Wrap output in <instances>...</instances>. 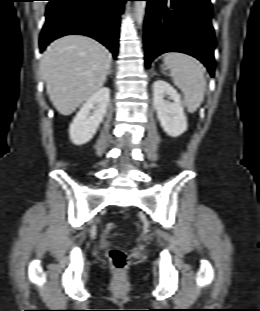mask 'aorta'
I'll return each mask as SVG.
<instances>
[{
  "instance_id": "obj_1",
  "label": "aorta",
  "mask_w": 260,
  "mask_h": 311,
  "mask_svg": "<svg viewBox=\"0 0 260 311\" xmlns=\"http://www.w3.org/2000/svg\"><path fill=\"white\" fill-rule=\"evenodd\" d=\"M146 1H135V18L140 26L145 15Z\"/></svg>"
}]
</instances>
